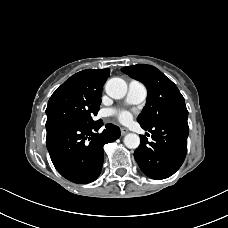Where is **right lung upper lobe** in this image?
Wrapping results in <instances>:
<instances>
[{"label": "right lung upper lobe", "mask_w": 228, "mask_h": 228, "mask_svg": "<svg viewBox=\"0 0 228 228\" xmlns=\"http://www.w3.org/2000/svg\"><path fill=\"white\" fill-rule=\"evenodd\" d=\"M109 74V69L83 70L74 74L67 82L73 83L90 93H101Z\"/></svg>", "instance_id": "1"}]
</instances>
